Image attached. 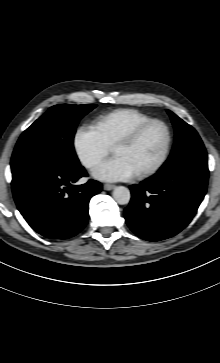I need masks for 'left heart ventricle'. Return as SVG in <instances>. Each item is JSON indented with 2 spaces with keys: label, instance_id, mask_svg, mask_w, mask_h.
Segmentation results:
<instances>
[{
  "label": "left heart ventricle",
  "instance_id": "obj_1",
  "mask_svg": "<svg viewBox=\"0 0 220 363\" xmlns=\"http://www.w3.org/2000/svg\"><path fill=\"white\" fill-rule=\"evenodd\" d=\"M166 142V133L162 126L148 127L132 144L119 146L112 151L131 165L136 173L153 166L160 158Z\"/></svg>",
  "mask_w": 220,
  "mask_h": 363
}]
</instances>
